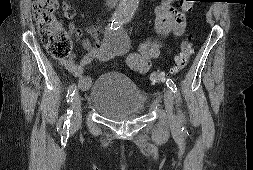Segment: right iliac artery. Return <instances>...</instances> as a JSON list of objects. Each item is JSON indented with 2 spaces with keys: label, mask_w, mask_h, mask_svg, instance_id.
Segmentation results:
<instances>
[{
  "label": "right iliac artery",
  "mask_w": 253,
  "mask_h": 170,
  "mask_svg": "<svg viewBox=\"0 0 253 170\" xmlns=\"http://www.w3.org/2000/svg\"><path fill=\"white\" fill-rule=\"evenodd\" d=\"M122 25H123V19L121 17L115 16V17L112 18V21L109 24V28L108 29L109 30H117ZM75 91H76V85L73 84L68 89V93H67V96H66L67 97V102L72 101V98H73V95H74ZM69 113H71V111L67 110V114H69ZM68 123H69V121H67V120L64 122V124L66 126H69Z\"/></svg>",
  "instance_id": "right-iliac-artery-1"
}]
</instances>
